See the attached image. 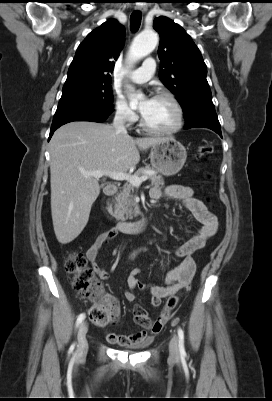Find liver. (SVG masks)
I'll return each instance as SVG.
<instances>
[{"label": "liver", "mask_w": 272, "mask_h": 401, "mask_svg": "<svg viewBox=\"0 0 272 401\" xmlns=\"http://www.w3.org/2000/svg\"><path fill=\"white\" fill-rule=\"evenodd\" d=\"M162 138H137L117 133L111 125L70 122L57 129L50 141L51 214L61 244L72 242L86 226L92 204L100 193L97 178L82 171L126 172Z\"/></svg>", "instance_id": "obj_1"}]
</instances>
